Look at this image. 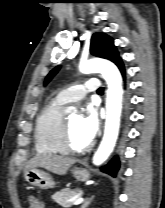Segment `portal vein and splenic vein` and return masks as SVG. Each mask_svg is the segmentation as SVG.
<instances>
[{
  "instance_id": "obj_1",
  "label": "portal vein and splenic vein",
  "mask_w": 165,
  "mask_h": 208,
  "mask_svg": "<svg viewBox=\"0 0 165 208\" xmlns=\"http://www.w3.org/2000/svg\"><path fill=\"white\" fill-rule=\"evenodd\" d=\"M83 198L79 197V198H75V199H70L69 201H72L74 205H78L80 203L83 202Z\"/></svg>"
}]
</instances>
